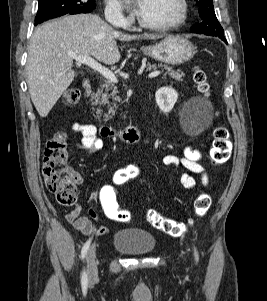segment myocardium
I'll return each mask as SVG.
<instances>
[{
  "instance_id": "1",
  "label": "myocardium",
  "mask_w": 267,
  "mask_h": 301,
  "mask_svg": "<svg viewBox=\"0 0 267 301\" xmlns=\"http://www.w3.org/2000/svg\"><path fill=\"white\" fill-rule=\"evenodd\" d=\"M179 4H180V9H181L180 14L176 20H174L170 23L153 24V23L146 22L140 16H138V18H137L138 24L145 29L154 30V31L173 30V29L179 27L180 25H182L186 21L187 16H188L189 7H188L187 0H179Z\"/></svg>"
}]
</instances>
